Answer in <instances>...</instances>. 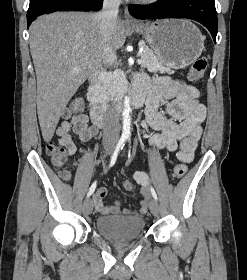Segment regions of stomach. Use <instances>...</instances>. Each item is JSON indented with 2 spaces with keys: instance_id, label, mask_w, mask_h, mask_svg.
I'll return each mask as SVG.
<instances>
[{
  "instance_id": "stomach-1",
  "label": "stomach",
  "mask_w": 247,
  "mask_h": 280,
  "mask_svg": "<svg viewBox=\"0 0 247 280\" xmlns=\"http://www.w3.org/2000/svg\"><path fill=\"white\" fill-rule=\"evenodd\" d=\"M133 30L143 35L159 61L173 69L192 64L202 53L204 37L188 20L170 19L141 24Z\"/></svg>"
}]
</instances>
